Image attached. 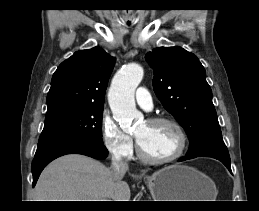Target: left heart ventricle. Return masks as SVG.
<instances>
[{
    "mask_svg": "<svg viewBox=\"0 0 259 211\" xmlns=\"http://www.w3.org/2000/svg\"><path fill=\"white\" fill-rule=\"evenodd\" d=\"M135 136L145 154L154 158L169 156L178 146L176 131L168 124L143 122L136 129Z\"/></svg>",
    "mask_w": 259,
    "mask_h": 211,
    "instance_id": "1",
    "label": "left heart ventricle"
}]
</instances>
